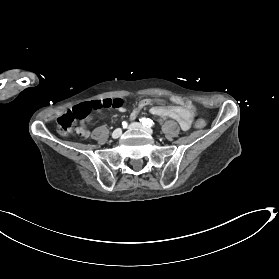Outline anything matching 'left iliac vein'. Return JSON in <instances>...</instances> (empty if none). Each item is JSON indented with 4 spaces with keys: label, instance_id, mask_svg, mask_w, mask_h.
Instances as JSON below:
<instances>
[{
    "label": "left iliac vein",
    "instance_id": "left-iliac-vein-1",
    "mask_svg": "<svg viewBox=\"0 0 279 279\" xmlns=\"http://www.w3.org/2000/svg\"><path fill=\"white\" fill-rule=\"evenodd\" d=\"M129 129H141L149 134H153V130L149 127L143 126L141 123L134 122L129 125Z\"/></svg>",
    "mask_w": 279,
    "mask_h": 279
}]
</instances>
